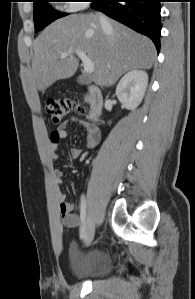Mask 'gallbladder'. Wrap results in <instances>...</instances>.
Masks as SVG:
<instances>
[{
    "mask_svg": "<svg viewBox=\"0 0 195 299\" xmlns=\"http://www.w3.org/2000/svg\"><path fill=\"white\" fill-rule=\"evenodd\" d=\"M77 81L80 84H89L90 83V80L88 78L84 77V76H79L77 78Z\"/></svg>",
    "mask_w": 195,
    "mask_h": 299,
    "instance_id": "1",
    "label": "gallbladder"
}]
</instances>
